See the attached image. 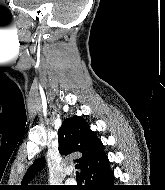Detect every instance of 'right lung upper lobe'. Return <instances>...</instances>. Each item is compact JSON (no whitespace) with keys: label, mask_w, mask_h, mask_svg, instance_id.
I'll return each mask as SVG.
<instances>
[{"label":"right lung upper lobe","mask_w":165,"mask_h":190,"mask_svg":"<svg viewBox=\"0 0 165 190\" xmlns=\"http://www.w3.org/2000/svg\"><path fill=\"white\" fill-rule=\"evenodd\" d=\"M58 141L61 154L73 152L82 154V157L76 160L80 164L81 173L88 168L94 167L105 156L103 143L80 116L65 119L59 130ZM44 165V157L37 159L25 173L20 188L23 190L37 189V186L28 185V183Z\"/></svg>","instance_id":"right-lung-upper-lobe-1"}]
</instances>
